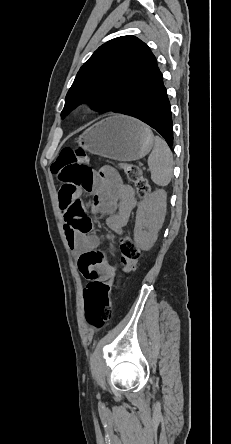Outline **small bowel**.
Masks as SVG:
<instances>
[{
    "mask_svg": "<svg viewBox=\"0 0 231 444\" xmlns=\"http://www.w3.org/2000/svg\"><path fill=\"white\" fill-rule=\"evenodd\" d=\"M92 196L91 208L95 215L106 216L107 226L117 234L127 224L135 205L133 188L124 183L120 174L110 166L103 167L89 187L82 188ZM80 190L63 186L59 203L64 218L65 234L69 246L78 255V268L83 277L92 282L115 276L120 270L118 261H107L96 249L98 240L89 234L79 233L74 227L71 206L79 201Z\"/></svg>",
    "mask_w": 231,
    "mask_h": 444,
    "instance_id": "c3829d8e",
    "label": "small bowel"
}]
</instances>
